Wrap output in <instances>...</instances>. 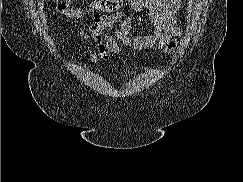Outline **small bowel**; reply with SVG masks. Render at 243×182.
I'll return each instance as SVG.
<instances>
[{
  "label": "small bowel",
  "mask_w": 243,
  "mask_h": 182,
  "mask_svg": "<svg viewBox=\"0 0 243 182\" xmlns=\"http://www.w3.org/2000/svg\"><path fill=\"white\" fill-rule=\"evenodd\" d=\"M136 12H148L153 30L135 38L130 35L132 18L122 11L111 14H94L80 38L94 63L108 61L109 54L121 55L120 46L134 53L155 49L162 53L173 51L182 29L177 23L181 0H128Z\"/></svg>",
  "instance_id": "small-bowel-1"
}]
</instances>
